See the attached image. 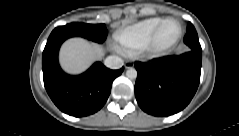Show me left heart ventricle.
I'll list each match as a JSON object with an SVG mask.
<instances>
[{"instance_id": "left-heart-ventricle-1", "label": "left heart ventricle", "mask_w": 239, "mask_h": 136, "mask_svg": "<svg viewBox=\"0 0 239 136\" xmlns=\"http://www.w3.org/2000/svg\"><path fill=\"white\" fill-rule=\"evenodd\" d=\"M178 32L179 28L176 23H170L165 26L158 37L159 46L172 44L176 40Z\"/></svg>"}]
</instances>
